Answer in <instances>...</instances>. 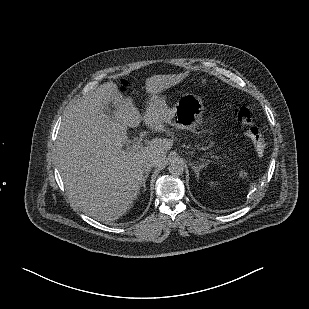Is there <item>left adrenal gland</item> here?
<instances>
[{
	"label": "left adrenal gland",
	"mask_w": 309,
	"mask_h": 309,
	"mask_svg": "<svg viewBox=\"0 0 309 309\" xmlns=\"http://www.w3.org/2000/svg\"><path fill=\"white\" fill-rule=\"evenodd\" d=\"M193 169H194V171L196 173V176L199 177V171L201 169V166H193Z\"/></svg>",
	"instance_id": "obj_1"
}]
</instances>
